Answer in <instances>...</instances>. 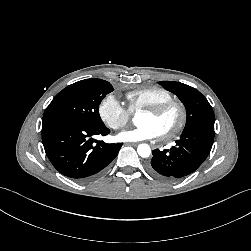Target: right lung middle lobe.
I'll use <instances>...</instances> for the list:
<instances>
[{"instance_id": "1", "label": "right lung middle lobe", "mask_w": 251, "mask_h": 251, "mask_svg": "<svg viewBox=\"0 0 251 251\" xmlns=\"http://www.w3.org/2000/svg\"><path fill=\"white\" fill-rule=\"evenodd\" d=\"M113 90L109 82L101 79L73 83L53 98L44 112L42 124L62 121L101 126L103 122L99 116V105Z\"/></svg>"}]
</instances>
